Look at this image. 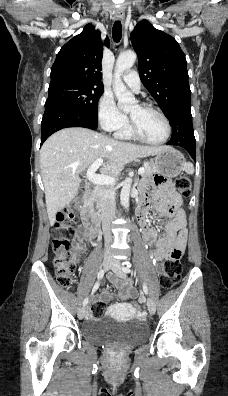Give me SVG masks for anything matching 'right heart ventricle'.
<instances>
[{"mask_svg": "<svg viewBox=\"0 0 228 396\" xmlns=\"http://www.w3.org/2000/svg\"><path fill=\"white\" fill-rule=\"evenodd\" d=\"M116 135L122 139H131L132 138V134L130 133V130L128 127H125V128H122V129L116 131Z\"/></svg>", "mask_w": 228, "mask_h": 396, "instance_id": "right-heart-ventricle-1", "label": "right heart ventricle"}]
</instances>
